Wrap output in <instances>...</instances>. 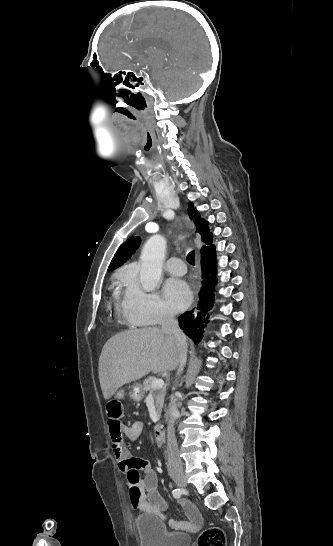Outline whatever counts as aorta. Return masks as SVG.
I'll return each mask as SVG.
<instances>
[{"mask_svg": "<svg viewBox=\"0 0 333 546\" xmlns=\"http://www.w3.org/2000/svg\"><path fill=\"white\" fill-rule=\"evenodd\" d=\"M166 252V240L156 234L145 243L140 256V282L147 292L153 291L159 284Z\"/></svg>", "mask_w": 333, "mask_h": 546, "instance_id": "aorta-1", "label": "aorta"}]
</instances>
